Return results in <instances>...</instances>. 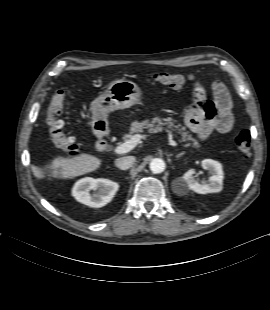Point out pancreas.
Wrapping results in <instances>:
<instances>
[{
    "label": "pancreas",
    "instance_id": "pancreas-1",
    "mask_svg": "<svg viewBox=\"0 0 270 310\" xmlns=\"http://www.w3.org/2000/svg\"><path fill=\"white\" fill-rule=\"evenodd\" d=\"M175 123L176 120H173L170 117L163 119L159 117H154L151 121L148 119L141 122L134 121L131 123L129 133L123 136V140L127 141L133 136L134 133H142L144 129H147L148 131H154L165 126L169 131H176L179 134H181L182 142L191 141V143L185 144V147L189 146H192L194 148L201 147L199 142L195 138H193L188 131H185L186 128L184 126H181L180 124L176 125Z\"/></svg>",
    "mask_w": 270,
    "mask_h": 310
}]
</instances>
